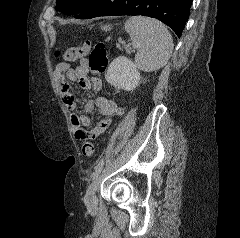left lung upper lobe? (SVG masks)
I'll return each mask as SVG.
<instances>
[{
	"label": "left lung upper lobe",
	"instance_id": "obj_1",
	"mask_svg": "<svg viewBox=\"0 0 240 238\" xmlns=\"http://www.w3.org/2000/svg\"><path fill=\"white\" fill-rule=\"evenodd\" d=\"M91 0H57L56 9L66 15H78Z\"/></svg>",
	"mask_w": 240,
	"mask_h": 238
}]
</instances>
